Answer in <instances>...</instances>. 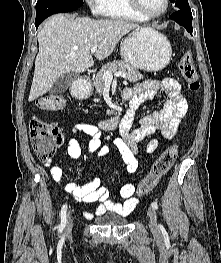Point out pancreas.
<instances>
[{
	"instance_id": "cf45deb5",
	"label": "pancreas",
	"mask_w": 221,
	"mask_h": 263,
	"mask_svg": "<svg viewBox=\"0 0 221 263\" xmlns=\"http://www.w3.org/2000/svg\"><path fill=\"white\" fill-rule=\"evenodd\" d=\"M106 71L110 72H122L127 75V79L130 82H137L141 79H143V75L134 67L128 65L127 63L123 61H113L105 64L97 73L93 84L96 88V91L101 95L105 88V80L103 78V74ZM113 110H107V114L111 115L113 114Z\"/></svg>"
}]
</instances>
